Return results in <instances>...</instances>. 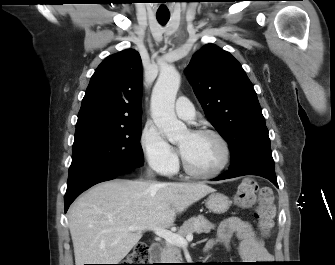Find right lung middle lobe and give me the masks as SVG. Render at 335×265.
Segmentation results:
<instances>
[{
    "mask_svg": "<svg viewBox=\"0 0 335 265\" xmlns=\"http://www.w3.org/2000/svg\"><path fill=\"white\" fill-rule=\"evenodd\" d=\"M141 120L76 129L68 176L93 167L135 169L143 164Z\"/></svg>",
    "mask_w": 335,
    "mask_h": 265,
    "instance_id": "1",
    "label": "right lung middle lobe"
}]
</instances>
